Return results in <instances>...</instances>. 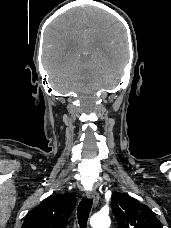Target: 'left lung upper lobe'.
I'll list each match as a JSON object with an SVG mask.
<instances>
[{"instance_id": "left-lung-upper-lobe-1", "label": "left lung upper lobe", "mask_w": 171, "mask_h": 228, "mask_svg": "<svg viewBox=\"0 0 171 228\" xmlns=\"http://www.w3.org/2000/svg\"><path fill=\"white\" fill-rule=\"evenodd\" d=\"M111 204L119 228H163L155 213L133 197L116 192Z\"/></svg>"}]
</instances>
